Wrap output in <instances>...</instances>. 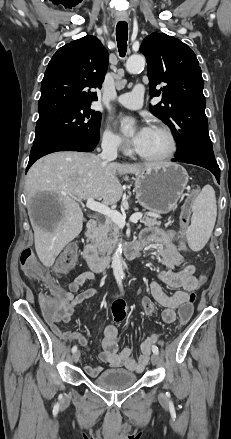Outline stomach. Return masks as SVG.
<instances>
[{"label":"stomach","mask_w":231,"mask_h":439,"mask_svg":"<svg viewBox=\"0 0 231 439\" xmlns=\"http://www.w3.org/2000/svg\"><path fill=\"white\" fill-rule=\"evenodd\" d=\"M188 183L186 170L175 163H163L136 175L137 202L145 209L157 214L173 210Z\"/></svg>","instance_id":"1"}]
</instances>
